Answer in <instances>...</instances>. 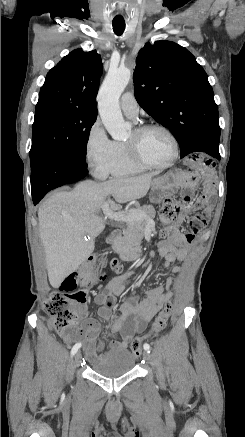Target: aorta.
<instances>
[{
  "instance_id": "obj_1",
  "label": "aorta",
  "mask_w": 245,
  "mask_h": 437,
  "mask_svg": "<svg viewBox=\"0 0 245 437\" xmlns=\"http://www.w3.org/2000/svg\"><path fill=\"white\" fill-rule=\"evenodd\" d=\"M131 78L127 68L110 69L98 93V108L102 122L115 140L128 135V125L124 122L119 108V98Z\"/></svg>"
}]
</instances>
